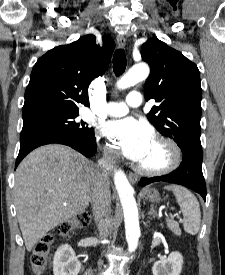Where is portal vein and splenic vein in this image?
<instances>
[{"instance_id": "obj_1", "label": "portal vein and splenic vein", "mask_w": 225, "mask_h": 275, "mask_svg": "<svg viewBox=\"0 0 225 275\" xmlns=\"http://www.w3.org/2000/svg\"><path fill=\"white\" fill-rule=\"evenodd\" d=\"M175 216H177V218H179V216H178V215H171V217H175Z\"/></svg>"}]
</instances>
